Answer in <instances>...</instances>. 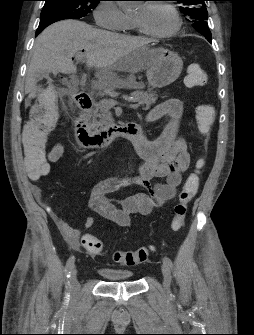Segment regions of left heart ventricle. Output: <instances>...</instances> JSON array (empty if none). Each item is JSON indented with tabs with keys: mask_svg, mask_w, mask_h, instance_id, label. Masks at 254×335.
I'll return each mask as SVG.
<instances>
[{
	"mask_svg": "<svg viewBox=\"0 0 254 335\" xmlns=\"http://www.w3.org/2000/svg\"><path fill=\"white\" fill-rule=\"evenodd\" d=\"M133 18L144 29L155 33L167 32L175 24L172 12L163 5L142 4L133 14Z\"/></svg>",
	"mask_w": 254,
	"mask_h": 335,
	"instance_id": "obj_1",
	"label": "left heart ventricle"
}]
</instances>
